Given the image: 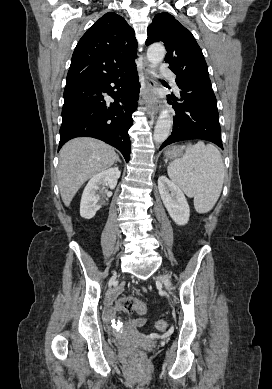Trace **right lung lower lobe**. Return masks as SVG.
Wrapping results in <instances>:
<instances>
[{
	"mask_svg": "<svg viewBox=\"0 0 272 389\" xmlns=\"http://www.w3.org/2000/svg\"><path fill=\"white\" fill-rule=\"evenodd\" d=\"M139 89L135 61L98 78L68 82L59 149L72 138L94 137L117 148L128 162L131 149L128 130L133 123L131 115L137 107ZM104 93L114 102H106Z\"/></svg>",
	"mask_w": 272,
	"mask_h": 389,
	"instance_id": "right-lung-lower-lobe-1",
	"label": "right lung lower lobe"
}]
</instances>
